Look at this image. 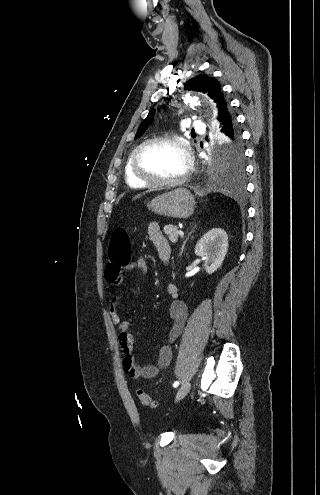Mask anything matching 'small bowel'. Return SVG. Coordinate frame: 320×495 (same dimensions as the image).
<instances>
[{"mask_svg":"<svg viewBox=\"0 0 320 495\" xmlns=\"http://www.w3.org/2000/svg\"><path fill=\"white\" fill-rule=\"evenodd\" d=\"M150 240L156 247L159 255L162 250L169 247L168 241L161 232L157 222H150L147 228ZM127 271L139 270L142 273L148 272V264L145 259H139L136 262L126 267ZM107 280L114 286H120L123 282L122 275L108 276ZM168 292L172 296L173 301L169 307L170 327L168 332L169 341H174L182 332L186 319L187 307L186 304L178 298L177 287L173 283L168 285ZM119 297L117 294H112L110 297L109 314L112 322L118 326V342L124 353L123 367L129 376L133 379H152L156 377L160 370L169 366L172 359V348L169 344H164L160 347L156 365L140 366L133 355V336L130 332L131 324L127 320H123L118 311Z\"/></svg>","mask_w":320,"mask_h":495,"instance_id":"small-bowel-1","label":"small bowel"}]
</instances>
